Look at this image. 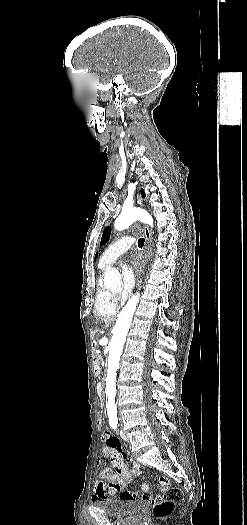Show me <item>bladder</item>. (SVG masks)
<instances>
[{
  "instance_id": "bladder-1",
  "label": "bladder",
  "mask_w": 247,
  "mask_h": 525,
  "mask_svg": "<svg viewBox=\"0 0 247 525\" xmlns=\"http://www.w3.org/2000/svg\"><path fill=\"white\" fill-rule=\"evenodd\" d=\"M97 510L112 518H125L134 513H139L143 507V498L136 500L107 499L92 503Z\"/></svg>"
}]
</instances>
